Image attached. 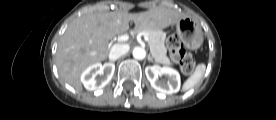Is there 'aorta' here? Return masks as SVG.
Wrapping results in <instances>:
<instances>
[{
    "label": "aorta",
    "instance_id": "762f6f07",
    "mask_svg": "<svg viewBox=\"0 0 276 120\" xmlns=\"http://www.w3.org/2000/svg\"><path fill=\"white\" fill-rule=\"evenodd\" d=\"M132 54L135 59L143 60L146 56V51L142 47H135Z\"/></svg>",
    "mask_w": 276,
    "mask_h": 120
}]
</instances>
